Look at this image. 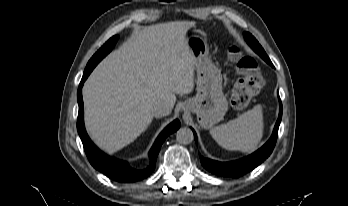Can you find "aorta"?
<instances>
[{"label":"aorta","instance_id":"1","mask_svg":"<svg viewBox=\"0 0 348 206\" xmlns=\"http://www.w3.org/2000/svg\"><path fill=\"white\" fill-rule=\"evenodd\" d=\"M176 140L180 144H190L194 140L193 131L188 127H181L176 132Z\"/></svg>","mask_w":348,"mask_h":206}]
</instances>
